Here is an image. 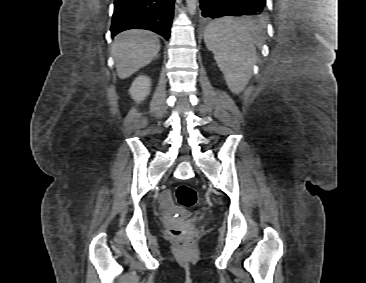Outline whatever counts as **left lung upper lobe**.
<instances>
[{"instance_id": "obj_1", "label": "left lung upper lobe", "mask_w": 366, "mask_h": 283, "mask_svg": "<svg viewBox=\"0 0 366 283\" xmlns=\"http://www.w3.org/2000/svg\"><path fill=\"white\" fill-rule=\"evenodd\" d=\"M264 16V13L258 14L255 16V18H262Z\"/></svg>"}]
</instances>
